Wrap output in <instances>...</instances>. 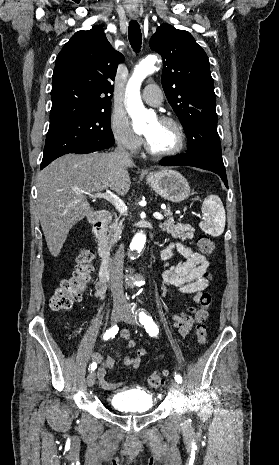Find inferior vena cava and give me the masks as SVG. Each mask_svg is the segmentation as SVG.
Here are the masks:
<instances>
[{
    "label": "inferior vena cava",
    "instance_id": "1",
    "mask_svg": "<svg viewBox=\"0 0 279 465\" xmlns=\"http://www.w3.org/2000/svg\"><path fill=\"white\" fill-rule=\"evenodd\" d=\"M112 155L127 161H132L131 155L125 150L121 143L118 144ZM124 256V245L120 244L110 265L111 292L115 303L124 302L125 300L122 281Z\"/></svg>",
    "mask_w": 279,
    "mask_h": 465
}]
</instances>
